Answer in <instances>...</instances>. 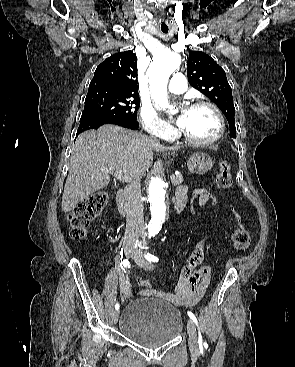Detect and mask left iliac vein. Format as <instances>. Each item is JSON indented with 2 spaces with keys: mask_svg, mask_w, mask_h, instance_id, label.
Masks as SVG:
<instances>
[{
  "mask_svg": "<svg viewBox=\"0 0 295 367\" xmlns=\"http://www.w3.org/2000/svg\"><path fill=\"white\" fill-rule=\"evenodd\" d=\"M132 258L141 268L145 270H152L154 268V265L151 262L145 260L138 250H134ZM187 330L189 335L190 350L193 354H198L199 342L197 338L195 324L191 319L187 321Z\"/></svg>",
  "mask_w": 295,
  "mask_h": 367,
  "instance_id": "1",
  "label": "left iliac vein"
}]
</instances>
